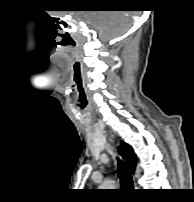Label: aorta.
<instances>
[{"instance_id":"obj_1","label":"aorta","mask_w":194,"mask_h":202,"mask_svg":"<svg viewBox=\"0 0 194 202\" xmlns=\"http://www.w3.org/2000/svg\"><path fill=\"white\" fill-rule=\"evenodd\" d=\"M109 186H110V182L106 181V182H104V184L101 186L100 189H108Z\"/></svg>"}]
</instances>
